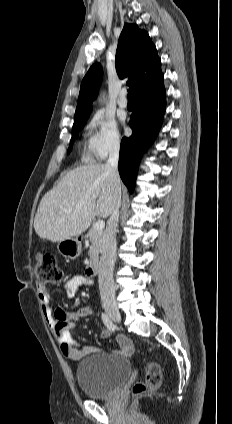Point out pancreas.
<instances>
[{"mask_svg":"<svg viewBox=\"0 0 232 424\" xmlns=\"http://www.w3.org/2000/svg\"><path fill=\"white\" fill-rule=\"evenodd\" d=\"M102 236L103 232L96 230L94 226L91 227L87 233V238H89V241L91 242V247L88 253L90 263L98 260V255L102 245Z\"/></svg>","mask_w":232,"mask_h":424,"instance_id":"obj_1","label":"pancreas"}]
</instances>
